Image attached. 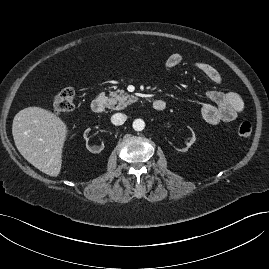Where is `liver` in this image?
Here are the masks:
<instances>
[{"label": "liver", "mask_w": 269, "mask_h": 269, "mask_svg": "<svg viewBox=\"0 0 269 269\" xmlns=\"http://www.w3.org/2000/svg\"><path fill=\"white\" fill-rule=\"evenodd\" d=\"M12 134L30 164L49 176L60 174L68 128L59 116L41 107L24 108L13 119Z\"/></svg>", "instance_id": "obj_1"}]
</instances>
